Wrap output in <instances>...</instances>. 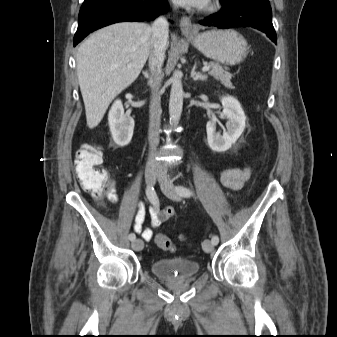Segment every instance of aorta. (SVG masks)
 Returning <instances> with one entry per match:
<instances>
[{"mask_svg": "<svg viewBox=\"0 0 337 337\" xmlns=\"http://www.w3.org/2000/svg\"><path fill=\"white\" fill-rule=\"evenodd\" d=\"M182 73L175 70L171 77V91L169 100V115L170 120L174 123L180 120L183 108V86H182Z\"/></svg>", "mask_w": 337, "mask_h": 337, "instance_id": "aorta-1", "label": "aorta"}]
</instances>
